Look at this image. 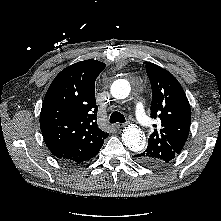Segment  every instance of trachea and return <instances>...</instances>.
<instances>
[{"label": "trachea", "instance_id": "trachea-1", "mask_svg": "<svg viewBox=\"0 0 221 221\" xmlns=\"http://www.w3.org/2000/svg\"><path fill=\"white\" fill-rule=\"evenodd\" d=\"M110 123H116V122H119V123H124L126 120H125V117L123 114H121L120 112L118 111H114L111 116H110Z\"/></svg>", "mask_w": 221, "mask_h": 221}]
</instances>
